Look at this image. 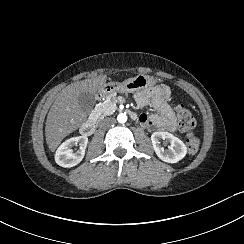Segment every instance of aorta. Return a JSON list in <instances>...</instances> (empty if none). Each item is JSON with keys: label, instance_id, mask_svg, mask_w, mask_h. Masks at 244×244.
<instances>
[{"label": "aorta", "instance_id": "1", "mask_svg": "<svg viewBox=\"0 0 244 244\" xmlns=\"http://www.w3.org/2000/svg\"><path fill=\"white\" fill-rule=\"evenodd\" d=\"M117 120L119 123H125L127 121V116L124 113H121L117 116Z\"/></svg>", "mask_w": 244, "mask_h": 244}]
</instances>
